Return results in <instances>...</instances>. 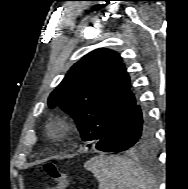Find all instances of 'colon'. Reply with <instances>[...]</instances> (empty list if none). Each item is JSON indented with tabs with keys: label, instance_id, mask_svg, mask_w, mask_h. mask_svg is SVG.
Instances as JSON below:
<instances>
[{
	"label": "colon",
	"instance_id": "colon-1",
	"mask_svg": "<svg viewBox=\"0 0 188 189\" xmlns=\"http://www.w3.org/2000/svg\"><path fill=\"white\" fill-rule=\"evenodd\" d=\"M45 174L52 179L55 184L49 189H66L68 185V177L59 166L54 162H46L43 165Z\"/></svg>",
	"mask_w": 188,
	"mask_h": 189
}]
</instances>
